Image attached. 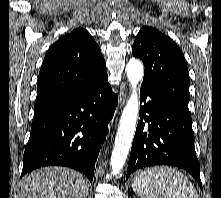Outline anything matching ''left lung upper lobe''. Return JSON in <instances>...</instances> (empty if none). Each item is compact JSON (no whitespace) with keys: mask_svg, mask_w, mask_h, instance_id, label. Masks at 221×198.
Returning a JSON list of instances; mask_svg holds the SVG:
<instances>
[{"mask_svg":"<svg viewBox=\"0 0 221 198\" xmlns=\"http://www.w3.org/2000/svg\"><path fill=\"white\" fill-rule=\"evenodd\" d=\"M132 53L144 62L143 82L155 86L189 113L190 78L184 56L175 42L153 27H142L135 38Z\"/></svg>","mask_w":221,"mask_h":198,"instance_id":"5c2ea615","label":"left lung upper lobe"}]
</instances>
